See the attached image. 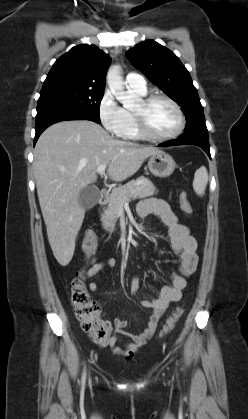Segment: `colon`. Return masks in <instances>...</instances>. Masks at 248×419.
Masks as SVG:
<instances>
[{"label": "colon", "mask_w": 248, "mask_h": 419, "mask_svg": "<svg viewBox=\"0 0 248 419\" xmlns=\"http://www.w3.org/2000/svg\"><path fill=\"white\" fill-rule=\"evenodd\" d=\"M179 202L185 214L193 213L192 204L185 192L180 194ZM82 248L86 259L91 260L97 248V238L93 231L85 234ZM71 302L82 330L89 333L96 343H106L111 338L113 328L109 322L99 318L100 306L87 292L82 271L71 282ZM182 311V308L178 307L168 318L161 330L162 337L173 329Z\"/></svg>", "instance_id": "1"}]
</instances>
